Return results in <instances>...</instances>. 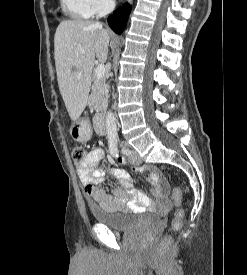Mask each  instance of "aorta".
Returning <instances> with one entry per match:
<instances>
[{
  "instance_id": "762f6f07",
  "label": "aorta",
  "mask_w": 247,
  "mask_h": 275,
  "mask_svg": "<svg viewBox=\"0 0 247 275\" xmlns=\"http://www.w3.org/2000/svg\"><path fill=\"white\" fill-rule=\"evenodd\" d=\"M106 134L109 140L117 139L116 118L112 111H108L106 115Z\"/></svg>"
}]
</instances>
